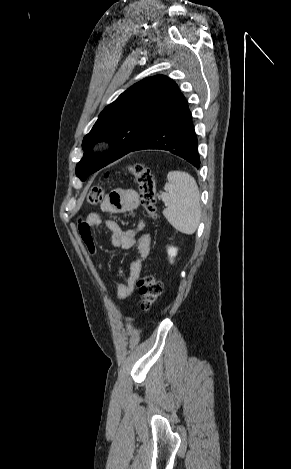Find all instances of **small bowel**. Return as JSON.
<instances>
[{
	"label": "small bowel",
	"mask_w": 291,
	"mask_h": 469,
	"mask_svg": "<svg viewBox=\"0 0 291 469\" xmlns=\"http://www.w3.org/2000/svg\"><path fill=\"white\" fill-rule=\"evenodd\" d=\"M139 207L138 194L133 189H119L110 193L101 203V212H93L79 225V232L87 250L95 254L94 229L105 227L111 234L112 245L123 250L137 244V254L131 265V274L126 282L118 285L116 295L119 299L128 298L135 287L140 265L150 253V237L147 234L137 236L143 229L144 222L139 220L135 229L125 230L114 219L105 218L103 213L111 215L131 214Z\"/></svg>",
	"instance_id": "obj_1"
}]
</instances>
